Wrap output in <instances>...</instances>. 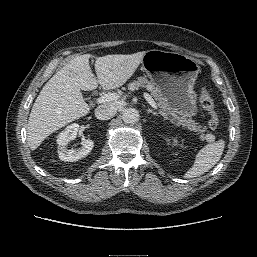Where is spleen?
<instances>
[{
    "instance_id": "obj_1",
    "label": "spleen",
    "mask_w": 257,
    "mask_h": 257,
    "mask_svg": "<svg viewBox=\"0 0 257 257\" xmlns=\"http://www.w3.org/2000/svg\"><path fill=\"white\" fill-rule=\"evenodd\" d=\"M225 147V141L207 144L196 155L194 164L185 173L184 178L190 179L198 177L209 171L221 158Z\"/></svg>"
}]
</instances>
